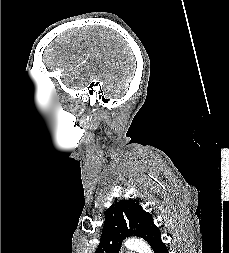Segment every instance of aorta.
I'll return each instance as SVG.
<instances>
[{"label": "aorta", "instance_id": "1", "mask_svg": "<svg viewBox=\"0 0 229 253\" xmlns=\"http://www.w3.org/2000/svg\"><path fill=\"white\" fill-rule=\"evenodd\" d=\"M125 245L138 253H153L151 247L142 239H129L125 242Z\"/></svg>", "mask_w": 229, "mask_h": 253}]
</instances>
